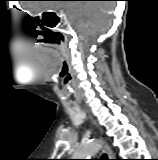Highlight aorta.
I'll return each mask as SVG.
<instances>
[{
	"label": "aorta",
	"instance_id": "aorta-1",
	"mask_svg": "<svg viewBox=\"0 0 158 160\" xmlns=\"http://www.w3.org/2000/svg\"><path fill=\"white\" fill-rule=\"evenodd\" d=\"M100 147L101 142L96 140L83 144L74 153L73 159H90V157H92Z\"/></svg>",
	"mask_w": 158,
	"mask_h": 160
}]
</instances>
